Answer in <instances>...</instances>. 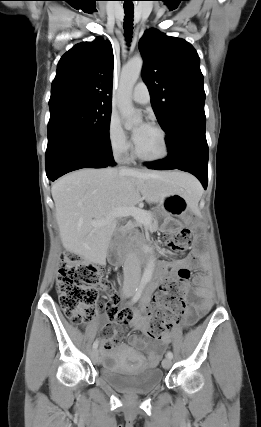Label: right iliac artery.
I'll return each instance as SVG.
<instances>
[{"label": "right iliac artery", "instance_id": "82829eb1", "mask_svg": "<svg viewBox=\"0 0 261 427\" xmlns=\"http://www.w3.org/2000/svg\"><path fill=\"white\" fill-rule=\"evenodd\" d=\"M146 281H144V280H142L141 281V283H140V285H139V287L136 289V293H135V295L132 297V299H131V301H130V303L129 304H133V303H136L139 299H140V297H141V295H142V292H143V290H144V288H145V286H146ZM98 344H99V341L98 340H96L94 343H93V349H96L97 347H98Z\"/></svg>", "mask_w": 261, "mask_h": 427}]
</instances>
